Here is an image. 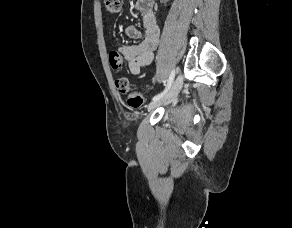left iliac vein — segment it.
Wrapping results in <instances>:
<instances>
[{
	"mask_svg": "<svg viewBox=\"0 0 292 228\" xmlns=\"http://www.w3.org/2000/svg\"><path fill=\"white\" fill-rule=\"evenodd\" d=\"M182 86H183V76L179 75L177 79L175 80L174 84L172 85L171 89L169 90V92L166 95H164L162 98H160L159 100L151 102L148 106V109L152 110L161 105H166L172 102L179 94L180 90L182 89Z\"/></svg>",
	"mask_w": 292,
	"mask_h": 228,
	"instance_id": "1",
	"label": "left iliac vein"
}]
</instances>
